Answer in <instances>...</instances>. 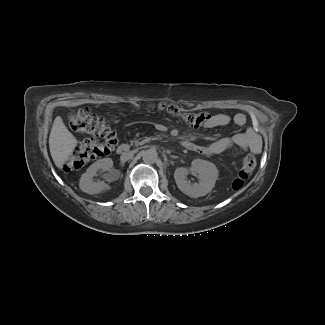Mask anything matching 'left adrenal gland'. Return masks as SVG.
<instances>
[{"instance_id":"1","label":"left adrenal gland","mask_w":325,"mask_h":325,"mask_svg":"<svg viewBox=\"0 0 325 325\" xmlns=\"http://www.w3.org/2000/svg\"><path fill=\"white\" fill-rule=\"evenodd\" d=\"M170 157H171V158H177V157H176V156H174V155H170Z\"/></svg>"}]
</instances>
